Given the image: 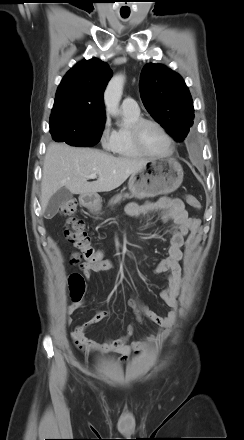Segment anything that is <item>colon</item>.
Returning a JSON list of instances; mask_svg holds the SVG:
<instances>
[{"label": "colon", "mask_w": 244, "mask_h": 440, "mask_svg": "<svg viewBox=\"0 0 244 440\" xmlns=\"http://www.w3.org/2000/svg\"><path fill=\"white\" fill-rule=\"evenodd\" d=\"M186 202L194 209L200 208V202L195 196L187 195ZM76 208L77 203L73 199L63 202L58 208V214L66 219L64 225L65 236L78 249V252L73 253V262H77L80 258H84L86 262L102 269L108 270L112 268L111 261L104 258L103 252L95 249L91 245V240L84 229L83 221L74 217ZM199 227L200 220L194 218L190 228V238L186 243L187 253L191 250L193 239L196 236ZM69 284L73 300H80L85 293V282L82 276L76 273L72 274L69 279Z\"/></svg>", "instance_id": "5ec220e1"}]
</instances>
